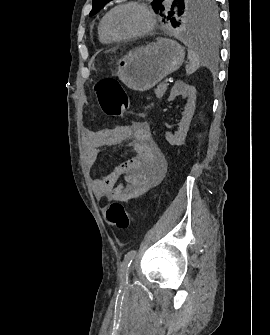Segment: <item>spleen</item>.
<instances>
[{"mask_svg":"<svg viewBox=\"0 0 270 335\" xmlns=\"http://www.w3.org/2000/svg\"><path fill=\"white\" fill-rule=\"evenodd\" d=\"M179 40L188 46V58L190 60V64L189 66H186L187 74H194L202 62H210L211 56L209 54V50H207V46H205V44H202L201 40L193 42V44H189V42L184 40V38H179Z\"/></svg>","mask_w":270,"mask_h":335,"instance_id":"spleen-1","label":"spleen"}]
</instances>
